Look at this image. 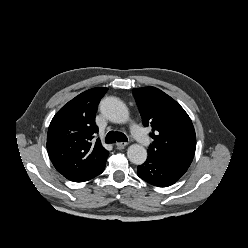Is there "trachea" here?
Here are the masks:
<instances>
[{
	"label": "trachea",
	"instance_id": "obj_1",
	"mask_svg": "<svg viewBox=\"0 0 248 248\" xmlns=\"http://www.w3.org/2000/svg\"><path fill=\"white\" fill-rule=\"evenodd\" d=\"M127 142V137L121 132L110 131L105 138L106 143Z\"/></svg>",
	"mask_w": 248,
	"mask_h": 248
}]
</instances>
